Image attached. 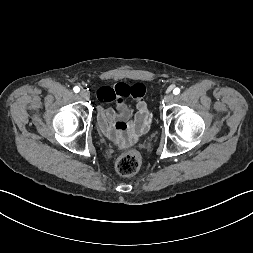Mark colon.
I'll return each instance as SVG.
<instances>
[{"label": "colon", "mask_w": 253, "mask_h": 253, "mask_svg": "<svg viewBox=\"0 0 253 253\" xmlns=\"http://www.w3.org/2000/svg\"><path fill=\"white\" fill-rule=\"evenodd\" d=\"M141 159L135 152H124L116 160V170L123 176H131L138 172Z\"/></svg>", "instance_id": "1"}]
</instances>
